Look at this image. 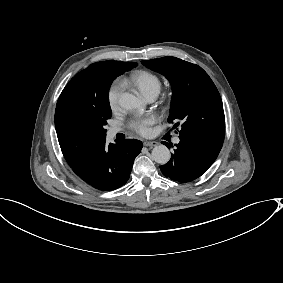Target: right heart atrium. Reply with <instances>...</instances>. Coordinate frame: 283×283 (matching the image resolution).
<instances>
[{
    "label": "right heart atrium",
    "instance_id": "obj_1",
    "mask_svg": "<svg viewBox=\"0 0 283 283\" xmlns=\"http://www.w3.org/2000/svg\"><path fill=\"white\" fill-rule=\"evenodd\" d=\"M123 90L124 86L120 80L114 79L109 83L106 90V100L110 110L115 111L118 109Z\"/></svg>",
    "mask_w": 283,
    "mask_h": 283
}]
</instances>
